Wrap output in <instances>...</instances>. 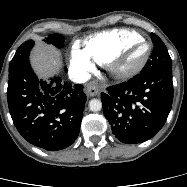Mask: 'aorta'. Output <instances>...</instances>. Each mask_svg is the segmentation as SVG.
I'll list each match as a JSON object with an SVG mask.
<instances>
[{
	"mask_svg": "<svg viewBox=\"0 0 187 187\" xmlns=\"http://www.w3.org/2000/svg\"><path fill=\"white\" fill-rule=\"evenodd\" d=\"M89 109L93 112H98L102 109V102L98 99H91L89 101Z\"/></svg>",
	"mask_w": 187,
	"mask_h": 187,
	"instance_id": "aorta-1",
	"label": "aorta"
}]
</instances>
